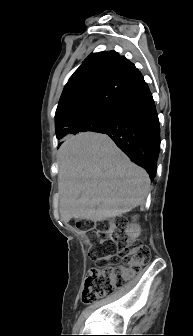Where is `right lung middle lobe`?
I'll return each mask as SVG.
<instances>
[{
    "label": "right lung middle lobe",
    "instance_id": "right-lung-middle-lobe-1",
    "mask_svg": "<svg viewBox=\"0 0 193 336\" xmlns=\"http://www.w3.org/2000/svg\"><path fill=\"white\" fill-rule=\"evenodd\" d=\"M110 109H100L98 111L81 116L73 122L71 128L76 133L84 131L98 132L105 124Z\"/></svg>",
    "mask_w": 193,
    "mask_h": 336
}]
</instances>
